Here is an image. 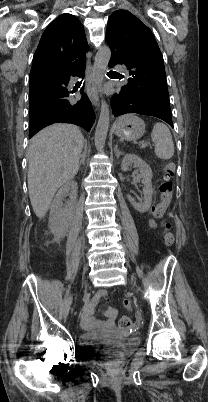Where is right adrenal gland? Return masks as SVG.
<instances>
[{"label": "right adrenal gland", "mask_w": 208, "mask_h": 402, "mask_svg": "<svg viewBox=\"0 0 208 402\" xmlns=\"http://www.w3.org/2000/svg\"><path fill=\"white\" fill-rule=\"evenodd\" d=\"M84 160H85V152H83V154H81L80 156L79 166H82V164H84Z\"/></svg>", "instance_id": "obj_1"}]
</instances>
